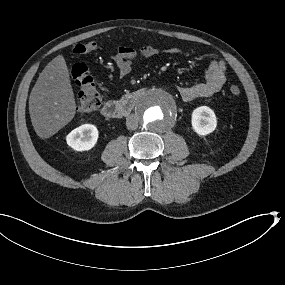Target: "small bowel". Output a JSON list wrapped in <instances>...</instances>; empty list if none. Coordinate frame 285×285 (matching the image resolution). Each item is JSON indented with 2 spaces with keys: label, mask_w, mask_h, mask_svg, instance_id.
I'll return each mask as SVG.
<instances>
[{
  "label": "small bowel",
  "mask_w": 285,
  "mask_h": 285,
  "mask_svg": "<svg viewBox=\"0 0 285 285\" xmlns=\"http://www.w3.org/2000/svg\"><path fill=\"white\" fill-rule=\"evenodd\" d=\"M159 53L160 51L151 45H144L139 48L122 46L119 47L112 56V61L114 62L119 75L125 77L131 72L136 60L151 58ZM164 53L172 56L188 57L191 54V51L186 48L174 47L165 50ZM225 82V63L221 60H213L210 62L205 73V79L202 82L190 86L179 85L177 89L181 98L188 102L197 98L213 96L222 89Z\"/></svg>",
  "instance_id": "obj_1"
}]
</instances>
